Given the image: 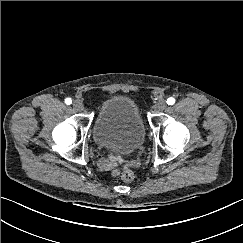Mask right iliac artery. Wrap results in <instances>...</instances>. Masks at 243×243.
Returning <instances> with one entry per match:
<instances>
[{
  "instance_id": "obj_1",
  "label": "right iliac artery",
  "mask_w": 243,
  "mask_h": 243,
  "mask_svg": "<svg viewBox=\"0 0 243 243\" xmlns=\"http://www.w3.org/2000/svg\"><path fill=\"white\" fill-rule=\"evenodd\" d=\"M65 103H66L67 105H70V104L72 103L71 98H66V99H65Z\"/></svg>"
}]
</instances>
